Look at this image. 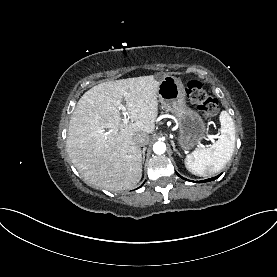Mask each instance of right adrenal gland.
<instances>
[{
	"instance_id": "1",
	"label": "right adrenal gland",
	"mask_w": 277,
	"mask_h": 277,
	"mask_svg": "<svg viewBox=\"0 0 277 277\" xmlns=\"http://www.w3.org/2000/svg\"><path fill=\"white\" fill-rule=\"evenodd\" d=\"M146 147H144L143 149H142V154H143V157H142V163H144V160H145V151H146Z\"/></svg>"
}]
</instances>
